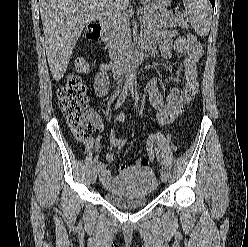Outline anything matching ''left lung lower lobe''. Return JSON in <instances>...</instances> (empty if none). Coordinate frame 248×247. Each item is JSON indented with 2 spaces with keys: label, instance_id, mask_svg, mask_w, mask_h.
I'll return each mask as SVG.
<instances>
[{
  "label": "left lung lower lobe",
  "instance_id": "left-lung-lower-lobe-1",
  "mask_svg": "<svg viewBox=\"0 0 248 247\" xmlns=\"http://www.w3.org/2000/svg\"><path fill=\"white\" fill-rule=\"evenodd\" d=\"M210 2H211V4H212V6L214 7V5H215V0H210Z\"/></svg>",
  "mask_w": 248,
  "mask_h": 247
}]
</instances>
